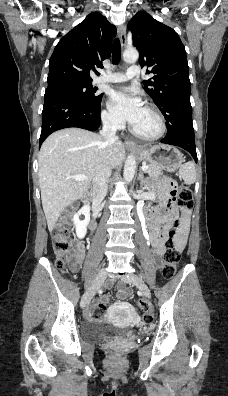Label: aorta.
<instances>
[{"instance_id": "aorta-1", "label": "aorta", "mask_w": 228, "mask_h": 396, "mask_svg": "<svg viewBox=\"0 0 228 396\" xmlns=\"http://www.w3.org/2000/svg\"><path fill=\"white\" fill-rule=\"evenodd\" d=\"M139 58V53L135 49H127L123 53V59L126 63H135ZM136 169V160L133 155H129L124 165V180L126 183H130L134 177Z\"/></svg>"}]
</instances>
